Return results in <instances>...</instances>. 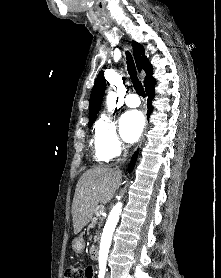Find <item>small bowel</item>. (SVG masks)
Instances as JSON below:
<instances>
[{
  "label": "small bowel",
  "mask_w": 221,
  "mask_h": 278,
  "mask_svg": "<svg viewBox=\"0 0 221 278\" xmlns=\"http://www.w3.org/2000/svg\"><path fill=\"white\" fill-rule=\"evenodd\" d=\"M94 274H95L94 268L92 266H89L85 278H94Z\"/></svg>",
  "instance_id": "1"
}]
</instances>
